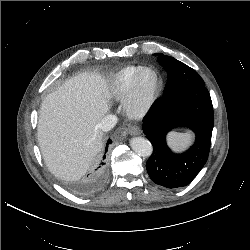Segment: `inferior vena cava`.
Returning a JSON list of instances; mask_svg holds the SVG:
<instances>
[{"mask_svg": "<svg viewBox=\"0 0 250 250\" xmlns=\"http://www.w3.org/2000/svg\"><path fill=\"white\" fill-rule=\"evenodd\" d=\"M117 120L115 115H107L101 120L98 127L104 132L110 131L117 124Z\"/></svg>", "mask_w": 250, "mask_h": 250, "instance_id": "1", "label": "inferior vena cava"}]
</instances>
